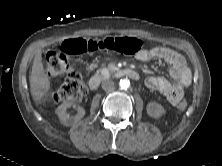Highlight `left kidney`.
<instances>
[{
    "label": "left kidney",
    "mask_w": 222,
    "mask_h": 166,
    "mask_svg": "<svg viewBox=\"0 0 222 166\" xmlns=\"http://www.w3.org/2000/svg\"><path fill=\"white\" fill-rule=\"evenodd\" d=\"M147 114L153 118H159L165 114L164 107L157 102H149L146 107Z\"/></svg>",
    "instance_id": "1"
}]
</instances>
